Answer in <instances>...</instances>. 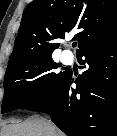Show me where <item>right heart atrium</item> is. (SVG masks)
<instances>
[{"instance_id": "d8ad5b80", "label": "right heart atrium", "mask_w": 117, "mask_h": 136, "mask_svg": "<svg viewBox=\"0 0 117 136\" xmlns=\"http://www.w3.org/2000/svg\"><path fill=\"white\" fill-rule=\"evenodd\" d=\"M41 89H42L41 86H38V87L35 89L34 93H35V94L39 93V92L41 91Z\"/></svg>"}]
</instances>
